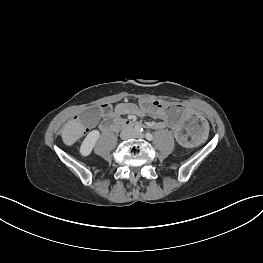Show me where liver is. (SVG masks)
I'll list each match as a JSON object with an SVG mask.
<instances>
[{"mask_svg": "<svg viewBox=\"0 0 263 263\" xmlns=\"http://www.w3.org/2000/svg\"><path fill=\"white\" fill-rule=\"evenodd\" d=\"M84 131L85 126L80 119L68 121L61 135L64 144L67 146L73 145L82 136Z\"/></svg>", "mask_w": 263, "mask_h": 263, "instance_id": "obj_1", "label": "liver"}]
</instances>
